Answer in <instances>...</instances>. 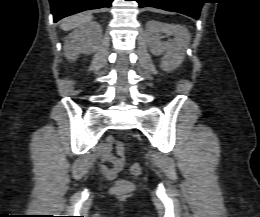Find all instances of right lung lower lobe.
<instances>
[{"mask_svg":"<svg viewBox=\"0 0 260 217\" xmlns=\"http://www.w3.org/2000/svg\"><path fill=\"white\" fill-rule=\"evenodd\" d=\"M54 22L84 10L110 7L113 0H49Z\"/></svg>","mask_w":260,"mask_h":217,"instance_id":"right-lung-lower-lobe-1","label":"right lung lower lobe"}]
</instances>
